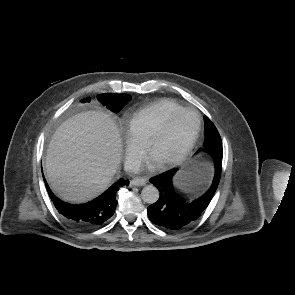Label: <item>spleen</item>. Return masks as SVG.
Instances as JSON below:
<instances>
[{"instance_id":"obj_1","label":"spleen","mask_w":295,"mask_h":295,"mask_svg":"<svg viewBox=\"0 0 295 295\" xmlns=\"http://www.w3.org/2000/svg\"><path fill=\"white\" fill-rule=\"evenodd\" d=\"M183 180V179H182ZM181 186H185L186 185V182H184V181H181Z\"/></svg>"}]
</instances>
